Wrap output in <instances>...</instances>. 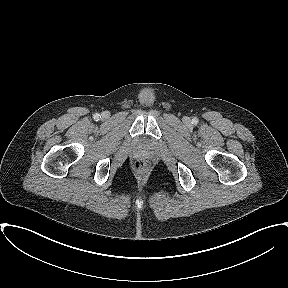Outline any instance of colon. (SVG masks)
<instances>
[{"instance_id":"5ec220e1","label":"colon","mask_w":288,"mask_h":288,"mask_svg":"<svg viewBox=\"0 0 288 288\" xmlns=\"http://www.w3.org/2000/svg\"><path fill=\"white\" fill-rule=\"evenodd\" d=\"M150 167V163L146 160H139L135 163V168L140 171H145Z\"/></svg>"}]
</instances>
